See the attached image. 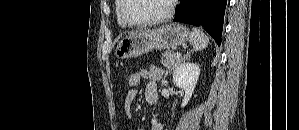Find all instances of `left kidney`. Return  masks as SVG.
Here are the masks:
<instances>
[{
	"instance_id": "1",
	"label": "left kidney",
	"mask_w": 299,
	"mask_h": 130,
	"mask_svg": "<svg viewBox=\"0 0 299 130\" xmlns=\"http://www.w3.org/2000/svg\"><path fill=\"white\" fill-rule=\"evenodd\" d=\"M199 74V65L195 63L183 62L175 69L173 74V83L185 92L181 107H185L190 101L194 88L197 84Z\"/></svg>"
}]
</instances>
